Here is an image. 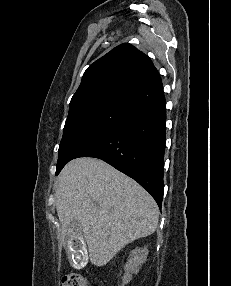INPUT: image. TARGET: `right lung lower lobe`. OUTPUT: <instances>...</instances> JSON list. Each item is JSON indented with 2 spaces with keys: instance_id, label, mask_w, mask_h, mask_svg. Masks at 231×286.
<instances>
[{
  "instance_id": "obj_1",
  "label": "right lung lower lobe",
  "mask_w": 231,
  "mask_h": 286,
  "mask_svg": "<svg viewBox=\"0 0 231 286\" xmlns=\"http://www.w3.org/2000/svg\"><path fill=\"white\" fill-rule=\"evenodd\" d=\"M123 118L76 156L104 160L130 176L162 205L165 151V97L162 82Z\"/></svg>"
}]
</instances>
